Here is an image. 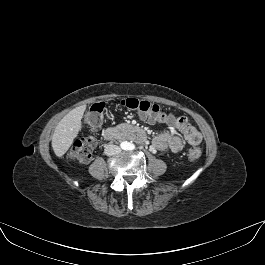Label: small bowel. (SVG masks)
Instances as JSON below:
<instances>
[{"mask_svg":"<svg viewBox=\"0 0 265 265\" xmlns=\"http://www.w3.org/2000/svg\"><path fill=\"white\" fill-rule=\"evenodd\" d=\"M140 118L149 124H163L170 129L176 128L184 137V139H182L172 131L163 132L155 136L152 140V146L156 150L178 153L185 148V141L192 146L199 145L201 142L200 133L185 117H174L173 115H169L165 118H157L149 115H140Z\"/></svg>","mask_w":265,"mask_h":265,"instance_id":"small-bowel-1","label":"small bowel"}]
</instances>
